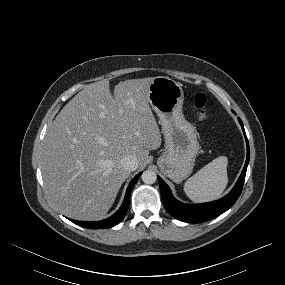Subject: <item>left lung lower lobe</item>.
<instances>
[{
  "instance_id": "1",
  "label": "left lung lower lobe",
  "mask_w": 285,
  "mask_h": 285,
  "mask_svg": "<svg viewBox=\"0 0 285 285\" xmlns=\"http://www.w3.org/2000/svg\"><path fill=\"white\" fill-rule=\"evenodd\" d=\"M239 122L242 126L246 138L247 158L237 183L235 184L234 188L230 191V193L227 194L225 197L208 203L193 204V205L184 204L182 202H179L173 197L167 184L160 177H158L161 196L164 205L167 208V210L170 212V214L174 216L176 219L190 223H199L210 220L227 211L230 207H232V205L236 202V200L240 196L246 176L247 166L249 163L250 151H249L248 140L241 119H239Z\"/></svg>"
}]
</instances>
